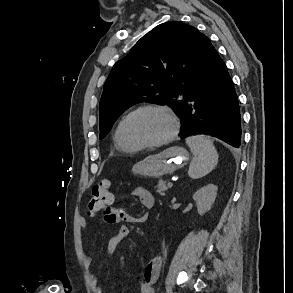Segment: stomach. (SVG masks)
Wrapping results in <instances>:
<instances>
[{
	"label": "stomach",
	"instance_id": "obj_1",
	"mask_svg": "<svg viewBox=\"0 0 293 293\" xmlns=\"http://www.w3.org/2000/svg\"><path fill=\"white\" fill-rule=\"evenodd\" d=\"M188 160L189 153L186 149L173 146L137 162L132 171L144 177L161 178L182 168Z\"/></svg>",
	"mask_w": 293,
	"mask_h": 293
}]
</instances>
